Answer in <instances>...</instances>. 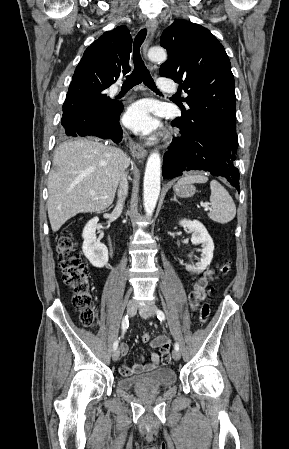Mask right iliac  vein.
Wrapping results in <instances>:
<instances>
[{
    "label": "right iliac vein",
    "mask_w": 289,
    "mask_h": 449,
    "mask_svg": "<svg viewBox=\"0 0 289 449\" xmlns=\"http://www.w3.org/2000/svg\"><path fill=\"white\" fill-rule=\"evenodd\" d=\"M136 312V304L135 301L130 300L127 304V314L129 316H133ZM120 356V351L118 349L114 350L112 353V359L113 361H117Z\"/></svg>",
    "instance_id": "right-iliac-vein-1"
}]
</instances>
